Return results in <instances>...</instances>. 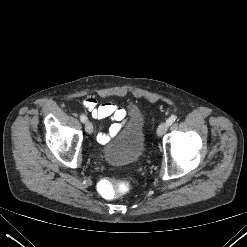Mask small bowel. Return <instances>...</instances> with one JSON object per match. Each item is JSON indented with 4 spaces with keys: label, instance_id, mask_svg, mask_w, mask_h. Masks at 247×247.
I'll list each match as a JSON object with an SVG mask.
<instances>
[{
    "label": "small bowel",
    "instance_id": "1",
    "mask_svg": "<svg viewBox=\"0 0 247 247\" xmlns=\"http://www.w3.org/2000/svg\"><path fill=\"white\" fill-rule=\"evenodd\" d=\"M85 109H87L92 117L97 120L110 118L115 123L110 127L108 133L99 132L97 134V141L100 144L108 143L120 130L121 122L126 118L127 112L124 108L118 106L114 102H106L99 104L93 97H87L82 102Z\"/></svg>",
    "mask_w": 247,
    "mask_h": 247
}]
</instances>
